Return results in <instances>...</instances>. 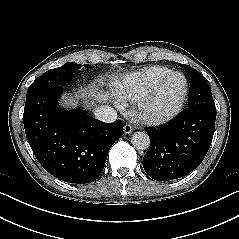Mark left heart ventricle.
I'll return each instance as SVG.
<instances>
[{
    "label": "left heart ventricle",
    "mask_w": 239,
    "mask_h": 239,
    "mask_svg": "<svg viewBox=\"0 0 239 239\" xmlns=\"http://www.w3.org/2000/svg\"><path fill=\"white\" fill-rule=\"evenodd\" d=\"M182 88L183 80L181 77L175 76L169 79L151 98L148 111L152 114H162L170 110L179 97Z\"/></svg>",
    "instance_id": "1"
}]
</instances>
